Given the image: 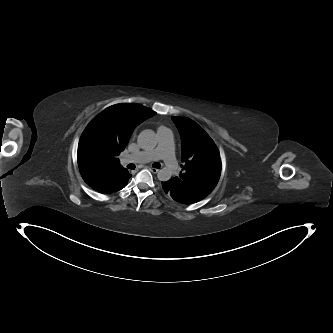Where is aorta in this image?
Listing matches in <instances>:
<instances>
[{
    "label": "aorta",
    "instance_id": "1",
    "mask_svg": "<svg viewBox=\"0 0 333 333\" xmlns=\"http://www.w3.org/2000/svg\"><path fill=\"white\" fill-rule=\"evenodd\" d=\"M138 144L144 150L153 149L157 145V137L153 130H143L138 136ZM171 171L162 168L158 171L157 177L160 181H167L171 178Z\"/></svg>",
    "mask_w": 333,
    "mask_h": 333
}]
</instances>
